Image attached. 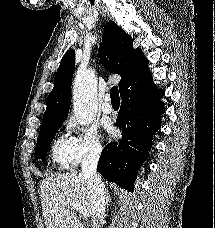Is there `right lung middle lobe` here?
I'll list each match as a JSON object with an SVG mask.
<instances>
[{
  "label": "right lung middle lobe",
  "instance_id": "dd1d6c3e",
  "mask_svg": "<svg viewBox=\"0 0 215 228\" xmlns=\"http://www.w3.org/2000/svg\"><path fill=\"white\" fill-rule=\"evenodd\" d=\"M63 122L42 125L37 139L35 158L45 160L48 148Z\"/></svg>",
  "mask_w": 215,
  "mask_h": 228
}]
</instances>
